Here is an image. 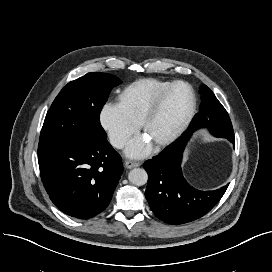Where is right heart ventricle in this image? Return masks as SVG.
Segmentation results:
<instances>
[{
  "label": "right heart ventricle",
  "instance_id": "right-heart-ventricle-1",
  "mask_svg": "<svg viewBox=\"0 0 272 272\" xmlns=\"http://www.w3.org/2000/svg\"><path fill=\"white\" fill-rule=\"evenodd\" d=\"M171 83L159 78L138 79L121 90L118 95V104L138 125L148 106Z\"/></svg>",
  "mask_w": 272,
  "mask_h": 272
}]
</instances>
